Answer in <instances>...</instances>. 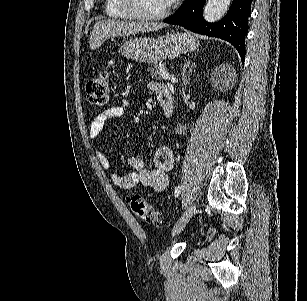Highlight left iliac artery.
Wrapping results in <instances>:
<instances>
[{
	"label": "left iliac artery",
	"mask_w": 307,
	"mask_h": 301,
	"mask_svg": "<svg viewBox=\"0 0 307 301\" xmlns=\"http://www.w3.org/2000/svg\"><path fill=\"white\" fill-rule=\"evenodd\" d=\"M182 190H183V187H182V186H177V187H175L174 196H175V197H178V196L181 194Z\"/></svg>",
	"instance_id": "obj_1"
}]
</instances>
